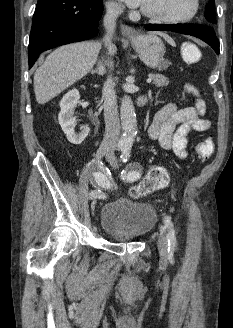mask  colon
Returning a JSON list of instances; mask_svg holds the SVG:
<instances>
[{"label":"colon","mask_w":233,"mask_h":328,"mask_svg":"<svg viewBox=\"0 0 233 328\" xmlns=\"http://www.w3.org/2000/svg\"><path fill=\"white\" fill-rule=\"evenodd\" d=\"M183 57L188 62H196L201 58L198 47L192 43H187L182 49ZM214 151V145L210 140L200 142L196 147V152L201 160H207ZM169 182L167 170L162 166L152 167L143 179L130 189L133 198L146 196L156 190L164 188Z\"/></svg>","instance_id":"1"}]
</instances>
